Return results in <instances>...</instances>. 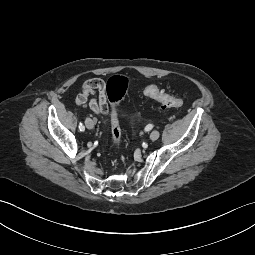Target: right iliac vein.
I'll use <instances>...</instances> for the list:
<instances>
[{
  "label": "right iliac vein",
  "instance_id": "63e3f726",
  "mask_svg": "<svg viewBox=\"0 0 255 255\" xmlns=\"http://www.w3.org/2000/svg\"><path fill=\"white\" fill-rule=\"evenodd\" d=\"M85 125L88 129H92L94 127V122L91 118H87L85 120Z\"/></svg>",
  "mask_w": 255,
  "mask_h": 255
}]
</instances>
